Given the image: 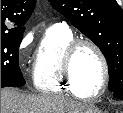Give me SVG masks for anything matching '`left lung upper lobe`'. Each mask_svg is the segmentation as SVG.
Wrapping results in <instances>:
<instances>
[{
	"label": "left lung upper lobe",
	"instance_id": "left-lung-upper-lobe-1",
	"mask_svg": "<svg viewBox=\"0 0 123 113\" xmlns=\"http://www.w3.org/2000/svg\"><path fill=\"white\" fill-rule=\"evenodd\" d=\"M49 2L100 48L109 67L108 89L123 100V11L116 0Z\"/></svg>",
	"mask_w": 123,
	"mask_h": 113
}]
</instances>
